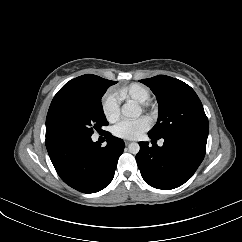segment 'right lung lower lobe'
Masks as SVG:
<instances>
[{
	"instance_id": "98d812e1",
	"label": "right lung lower lobe",
	"mask_w": 242,
	"mask_h": 242,
	"mask_svg": "<svg viewBox=\"0 0 242 242\" xmlns=\"http://www.w3.org/2000/svg\"><path fill=\"white\" fill-rule=\"evenodd\" d=\"M100 146L91 135L79 131L46 137L56 172L66 184L83 193H95L110 184L125 144L109 134L107 146Z\"/></svg>"
}]
</instances>
